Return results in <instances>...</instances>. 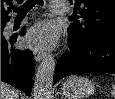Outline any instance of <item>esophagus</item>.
I'll list each match as a JSON object with an SVG mask.
<instances>
[{"label":"esophagus","instance_id":"obj_1","mask_svg":"<svg viewBox=\"0 0 115 99\" xmlns=\"http://www.w3.org/2000/svg\"><path fill=\"white\" fill-rule=\"evenodd\" d=\"M46 56V53L43 51H36L34 52V58L36 62H40L42 59H44Z\"/></svg>","mask_w":115,"mask_h":99}]
</instances>
